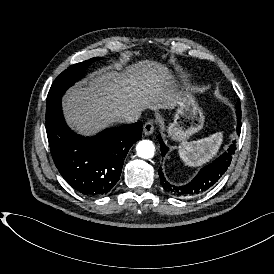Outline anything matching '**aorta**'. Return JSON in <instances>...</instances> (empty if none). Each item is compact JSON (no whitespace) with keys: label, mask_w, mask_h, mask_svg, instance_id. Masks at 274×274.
<instances>
[{"label":"aorta","mask_w":274,"mask_h":274,"mask_svg":"<svg viewBox=\"0 0 274 274\" xmlns=\"http://www.w3.org/2000/svg\"><path fill=\"white\" fill-rule=\"evenodd\" d=\"M154 144L150 140H142L136 146L137 155L144 159H150L154 156Z\"/></svg>","instance_id":"762f6f07"}]
</instances>
